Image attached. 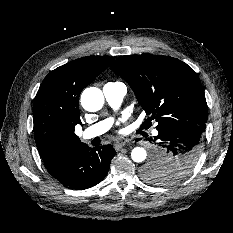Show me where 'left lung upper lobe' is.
I'll use <instances>...</instances> for the list:
<instances>
[{
    "mask_svg": "<svg viewBox=\"0 0 233 233\" xmlns=\"http://www.w3.org/2000/svg\"><path fill=\"white\" fill-rule=\"evenodd\" d=\"M111 69L130 85L146 114L158 122L157 130L178 124H206L208 108L202 84L184 62L161 55H126L118 58ZM194 165L169 167L151 161L143 168L142 176L154 183L172 184L189 174Z\"/></svg>",
    "mask_w": 233,
    "mask_h": 233,
    "instance_id": "1",
    "label": "left lung upper lobe"
}]
</instances>
